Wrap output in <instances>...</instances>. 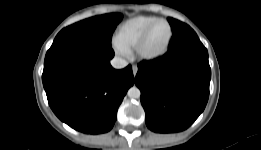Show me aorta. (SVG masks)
I'll return each instance as SVG.
<instances>
[{"instance_id":"aorta-1","label":"aorta","mask_w":261,"mask_h":150,"mask_svg":"<svg viewBox=\"0 0 261 150\" xmlns=\"http://www.w3.org/2000/svg\"><path fill=\"white\" fill-rule=\"evenodd\" d=\"M127 95L132 99H138V98H140L141 92H140L139 88H137L136 86H133L128 90Z\"/></svg>"}]
</instances>
